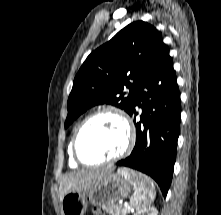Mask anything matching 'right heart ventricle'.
<instances>
[{
    "mask_svg": "<svg viewBox=\"0 0 221 215\" xmlns=\"http://www.w3.org/2000/svg\"><path fill=\"white\" fill-rule=\"evenodd\" d=\"M69 162L71 166L73 167L77 166V162L74 160L73 155H72L71 144L69 145Z\"/></svg>",
    "mask_w": 221,
    "mask_h": 215,
    "instance_id": "1",
    "label": "right heart ventricle"
}]
</instances>
